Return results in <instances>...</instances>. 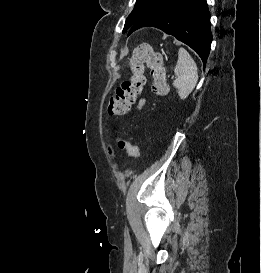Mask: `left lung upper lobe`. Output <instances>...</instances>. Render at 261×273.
Returning <instances> with one entry per match:
<instances>
[{"label": "left lung upper lobe", "mask_w": 261, "mask_h": 273, "mask_svg": "<svg viewBox=\"0 0 261 273\" xmlns=\"http://www.w3.org/2000/svg\"><path fill=\"white\" fill-rule=\"evenodd\" d=\"M169 0H137L135 8L125 22L123 32L129 30L136 22L146 16L149 12Z\"/></svg>", "instance_id": "5c2ea615"}]
</instances>
